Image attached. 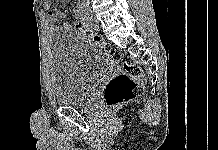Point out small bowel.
<instances>
[{
    "label": "small bowel",
    "mask_w": 218,
    "mask_h": 150,
    "mask_svg": "<svg viewBox=\"0 0 218 150\" xmlns=\"http://www.w3.org/2000/svg\"><path fill=\"white\" fill-rule=\"evenodd\" d=\"M53 0H45V9H46V16L50 23L49 29L52 33H56L59 31H68L72 28L71 24L69 23H63L61 25H58V19L64 17L63 13L57 12L54 10L52 6ZM76 18L77 17V11L74 12ZM79 19V18H78Z\"/></svg>",
    "instance_id": "c3829d8e"
}]
</instances>
